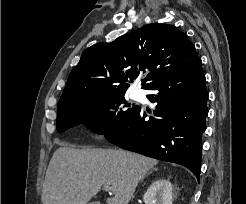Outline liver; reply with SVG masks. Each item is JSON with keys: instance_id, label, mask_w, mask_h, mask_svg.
I'll return each instance as SVG.
<instances>
[{"instance_id": "6515ba94", "label": "liver", "mask_w": 246, "mask_h": 204, "mask_svg": "<svg viewBox=\"0 0 246 204\" xmlns=\"http://www.w3.org/2000/svg\"><path fill=\"white\" fill-rule=\"evenodd\" d=\"M158 161L121 149L58 148L47 168L43 204H87L102 186L113 188L106 204H128L136 186Z\"/></svg>"}]
</instances>
